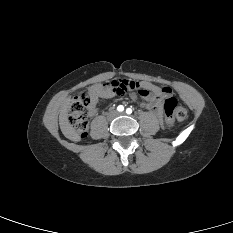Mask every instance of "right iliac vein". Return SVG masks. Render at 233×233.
Listing matches in <instances>:
<instances>
[{
	"label": "right iliac vein",
	"mask_w": 233,
	"mask_h": 233,
	"mask_svg": "<svg viewBox=\"0 0 233 233\" xmlns=\"http://www.w3.org/2000/svg\"><path fill=\"white\" fill-rule=\"evenodd\" d=\"M116 115V112L115 111H112L109 113V118H113L114 116Z\"/></svg>",
	"instance_id": "63e3f726"
}]
</instances>
